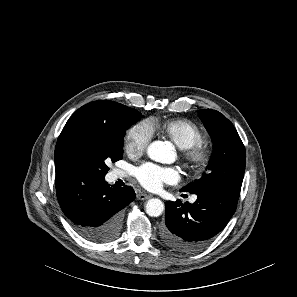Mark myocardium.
I'll return each instance as SVG.
<instances>
[{"mask_svg":"<svg viewBox=\"0 0 297 297\" xmlns=\"http://www.w3.org/2000/svg\"><path fill=\"white\" fill-rule=\"evenodd\" d=\"M182 158L187 166L194 172L203 171L210 162L211 150L204 143L182 149Z\"/></svg>","mask_w":297,"mask_h":297,"instance_id":"myocardium-1","label":"myocardium"}]
</instances>
